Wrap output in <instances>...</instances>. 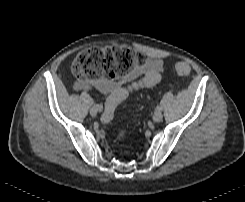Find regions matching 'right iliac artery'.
I'll return each mask as SVG.
<instances>
[{
    "instance_id": "right-iliac-artery-1",
    "label": "right iliac artery",
    "mask_w": 245,
    "mask_h": 202,
    "mask_svg": "<svg viewBox=\"0 0 245 202\" xmlns=\"http://www.w3.org/2000/svg\"><path fill=\"white\" fill-rule=\"evenodd\" d=\"M97 107L100 109V111L103 110V106L101 104H97Z\"/></svg>"
}]
</instances>
